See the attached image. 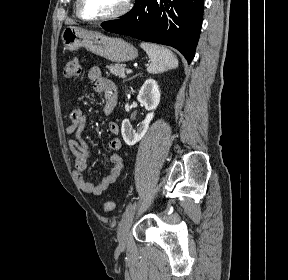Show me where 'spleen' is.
<instances>
[{"instance_id": "spleen-1", "label": "spleen", "mask_w": 288, "mask_h": 280, "mask_svg": "<svg viewBox=\"0 0 288 280\" xmlns=\"http://www.w3.org/2000/svg\"><path fill=\"white\" fill-rule=\"evenodd\" d=\"M141 48L150 59L147 67L148 73L159 74L178 67L177 57L166 47L144 42L141 43Z\"/></svg>"}]
</instances>
